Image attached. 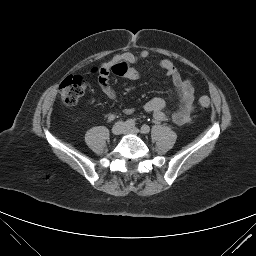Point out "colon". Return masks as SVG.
<instances>
[{
	"mask_svg": "<svg viewBox=\"0 0 256 256\" xmlns=\"http://www.w3.org/2000/svg\"><path fill=\"white\" fill-rule=\"evenodd\" d=\"M86 90V81L80 75H71L65 78L59 87V94L62 102L67 106L75 105L83 96ZM201 109H207L210 106L208 97L203 96L199 99Z\"/></svg>",
	"mask_w": 256,
	"mask_h": 256,
	"instance_id": "obj_1",
	"label": "colon"
}]
</instances>
